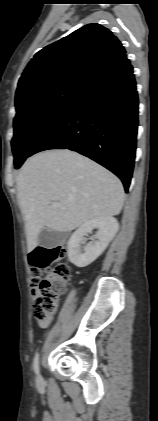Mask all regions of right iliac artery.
I'll return each instance as SVG.
<instances>
[{
    "label": "right iliac artery",
    "instance_id": "obj_1",
    "mask_svg": "<svg viewBox=\"0 0 158 421\" xmlns=\"http://www.w3.org/2000/svg\"><path fill=\"white\" fill-rule=\"evenodd\" d=\"M33 369L35 371L36 374L39 373V354H37L34 358L33 361Z\"/></svg>",
    "mask_w": 158,
    "mask_h": 421
}]
</instances>
